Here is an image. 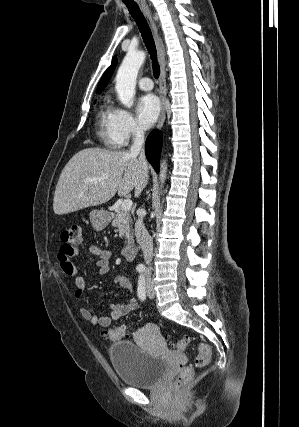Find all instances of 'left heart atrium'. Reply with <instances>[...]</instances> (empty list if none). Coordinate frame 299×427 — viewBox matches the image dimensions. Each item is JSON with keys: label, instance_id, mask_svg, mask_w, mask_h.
<instances>
[{"label": "left heart atrium", "instance_id": "left-heart-atrium-1", "mask_svg": "<svg viewBox=\"0 0 299 427\" xmlns=\"http://www.w3.org/2000/svg\"><path fill=\"white\" fill-rule=\"evenodd\" d=\"M137 118L144 128L151 127L157 120L160 112V103L154 94H146L139 98L136 107Z\"/></svg>", "mask_w": 299, "mask_h": 427}]
</instances>
